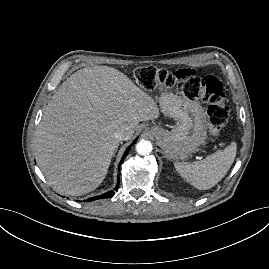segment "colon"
<instances>
[{
    "mask_svg": "<svg viewBox=\"0 0 269 269\" xmlns=\"http://www.w3.org/2000/svg\"><path fill=\"white\" fill-rule=\"evenodd\" d=\"M135 79L145 90L157 88H176L190 99H200L208 103V136L215 140L221 133L229 118V109L225 103L222 83L214 76H197L191 70L168 72L152 66L136 69Z\"/></svg>",
    "mask_w": 269,
    "mask_h": 269,
    "instance_id": "obj_1",
    "label": "colon"
}]
</instances>
